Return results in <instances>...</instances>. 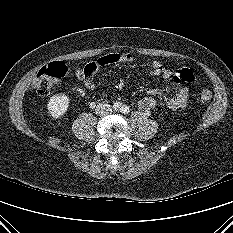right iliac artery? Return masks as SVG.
I'll return each instance as SVG.
<instances>
[{
  "label": "right iliac artery",
  "instance_id": "1",
  "mask_svg": "<svg viewBox=\"0 0 233 233\" xmlns=\"http://www.w3.org/2000/svg\"><path fill=\"white\" fill-rule=\"evenodd\" d=\"M113 108H114L115 111H118V110L121 109V107H120V105L118 103H115Z\"/></svg>",
  "mask_w": 233,
  "mask_h": 233
}]
</instances>
